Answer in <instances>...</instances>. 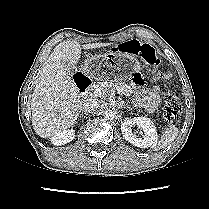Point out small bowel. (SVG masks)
<instances>
[{"instance_id":"c3829d8e","label":"small bowel","mask_w":209,"mask_h":209,"mask_svg":"<svg viewBox=\"0 0 209 209\" xmlns=\"http://www.w3.org/2000/svg\"><path fill=\"white\" fill-rule=\"evenodd\" d=\"M128 81L131 86L140 88L145 85L147 76L144 71L135 69L130 72ZM160 101V89L158 86L141 89L135 99L138 106L145 108L149 112H154L158 108Z\"/></svg>"}]
</instances>
